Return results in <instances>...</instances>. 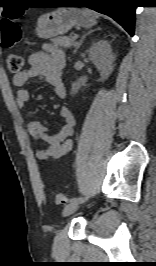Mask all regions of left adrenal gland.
Returning <instances> with one entry per match:
<instances>
[{"instance_id":"obj_1","label":"left adrenal gland","mask_w":156,"mask_h":266,"mask_svg":"<svg viewBox=\"0 0 156 266\" xmlns=\"http://www.w3.org/2000/svg\"><path fill=\"white\" fill-rule=\"evenodd\" d=\"M96 30H100V28H97V29H91V30H89L86 34H84V35L81 37L80 41H79L78 43H76V45H75L74 53H76L77 50L79 49V47L82 45L83 40L85 39V37H86L87 35H89L90 33L96 31Z\"/></svg>"}]
</instances>
